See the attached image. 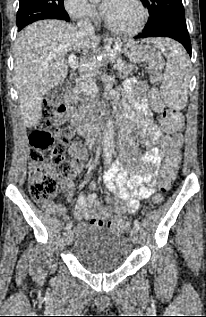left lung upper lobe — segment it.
Returning <instances> with one entry per match:
<instances>
[{
  "label": "left lung upper lobe",
  "mask_w": 206,
  "mask_h": 317,
  "mask_svg": "<svg viewBox=\"0 0 206 317\" xmlns=\"http://www.w3.org/2000/svg\"><path fill=\"white\" fill-rule=\"evenodd\" d=\"M141 2L148 8L150 14L145 30L164 23L186 25L182 0H141Z\"/></svg>",
  "instance_id": "1"
}]
</instances>
